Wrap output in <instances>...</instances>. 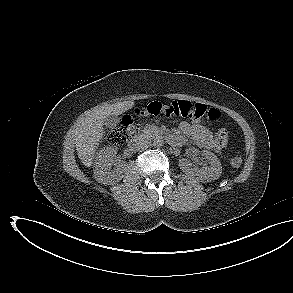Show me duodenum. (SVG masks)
<instances>
[{"mask_svg": "<svg viewBox=\"0 0 293 293\" xmlns=\"http://www.w3.org/2000/svg\"><path fill=\"white\" fill-rule=\"evenodd\" d=\"M168 139L170 140V142H171L172 144H177V143H178V137H176V136H174V135H169V136H168ZM142 142H143V136H141V135H137V136L133 137V138L130 140L128 146H129L130 149H135V148H137Z\"/></svg>", "mask_w": 293, "mask_h": 293, "instance_id": "obj_1", "label": "duodenum"}]
</instances>
